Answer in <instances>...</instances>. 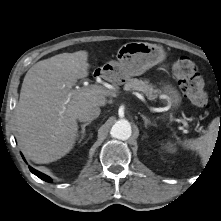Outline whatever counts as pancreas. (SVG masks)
Listing matches in <instances>:
<instances>
[{
	"label": "pancreas",
	"mask_w": 221,
	"mask_h": 221,
	"mask_svg": "<svg viewBox=\"0 0 221 221\" xmlns=\"http://www.w3.org/2000/svg\"><path fill=\"white\" fill-rule=\"evenodd\" d=\"M126 91H140L147 96L149 100H154L157 97V91L153 88L147 80H141L137 78H130L124 85Z\"/></svg>",
	"instance_id": "1"
}]
</instances>
